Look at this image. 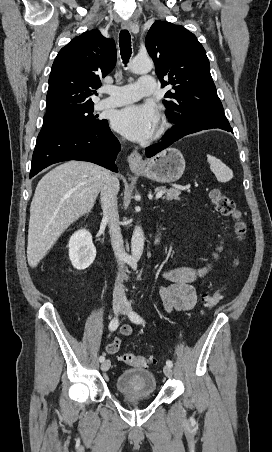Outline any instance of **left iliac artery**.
I'll return each instance as SVG.
<instances>
[{"label": "left iliac artery", "instance_id": "1", "mask_svg": "<svg viewBox=\"0 0 272 452\" xmlns=\"http://www.w3.org/2000/svg\"><path fill=\"white\" fill-rule=\"evenodd\" d=\"M130 320L137 324L144 323L143 318L135 312L130 313ZM166 365H168L169 367H172L173 363L171 360H167Z\"/></svg>", "mask_w": 272, "mask_h": 452}]
</instances>
